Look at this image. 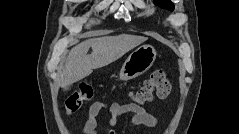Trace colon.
Wrapping results in <instances>:
<instances>
[{
	"instance_id": "5ec220e1",
	"label": "colon",
	"mask_w": 239,
	"mask_h": 134,
	"mask_svg": "<svg viewBox=\"0 0 239 134\" xmlns=\"http://www.w3.org/2000/svg\"><path fill=\"white\" fill-rule=\"evenodd\" d=\"M171 84L166 74L162 70L153 71L144 81L141 88L134 94L133 99L137 104H146L153 100L156 95L159 98H166L170 94ZM94 94L91 84L82 81L78 89L74 91L66 100L65 111L71 115L87 103Z\"/></svg>"
}]
</instances>
